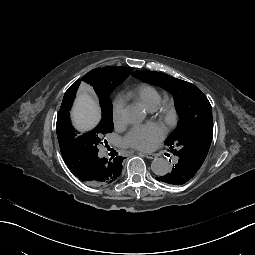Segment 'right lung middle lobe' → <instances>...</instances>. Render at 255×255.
Returning a JSON list of instances; mask_svg holds the SVG:
<instances>
[{
    "label": "right lung middle lobe",
    "instance_id": "right-lung-middle-lobe-1",
    "mask_svg": "<svg viewBox=\"0 0 255 255\" xmlns=\"http://www.w3.org/2000/svg\"><path fill=\"white\" fill-rule=\"evenodd\" d=\"M131 71L132 70L127 73L126 77ZM112 91L113 90H109L97 95L102 110V119L94 130L83 135H77L78 132L75 131L71 125L69 113L59 121L56 126L59 143H73V151L75 153L88 154L90 152V143L88 141L99 131L113 127L112 101L110 98V93Z\"/></svg>",
    "mask_w": 255,
    "mask_h": 255
}]
</instances>
